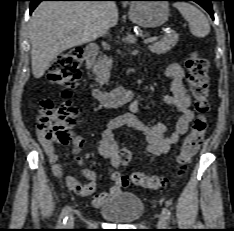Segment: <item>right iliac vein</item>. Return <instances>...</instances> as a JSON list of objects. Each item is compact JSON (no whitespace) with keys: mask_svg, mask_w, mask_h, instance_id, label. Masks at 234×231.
<instances>
[{"mask_svg":"<svg viewBox=\"0 0 234 231\" xmlns=\"http://www.w3.org/2000/svg\"><path fill=\"white\" fill-rule=\"evenodd\" d=\"M73 226H74V217H73V215H70L67 222H66L65 227L73 228Z\"/></svg>","mask_w":234,"mask_h":231,"instance_id":"63e3f726","label":"right iliac vein"}]
</instances>
